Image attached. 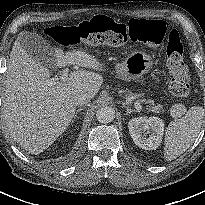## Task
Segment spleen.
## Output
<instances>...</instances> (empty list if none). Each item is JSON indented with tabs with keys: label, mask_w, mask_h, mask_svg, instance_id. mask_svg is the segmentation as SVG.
Instances as JSON below:
<instances>
[{
	"label": "spleen",
	"mask_w": 205,
	"mask_h": 205,
	"mask_svg": "<svg viewBox=\"0 0 205 205\" xmlns=\"http://www.w3.org/2000/svg\"><path fill=\"white\" fill-rule=\"evenodd\" d=\"M205 109L191 107L184 117L171 121L166 129L164 158L172 161L185 152L198 136Z\"/></svg>",
	"instance_id": "3e777b00"
}]
</instances>
